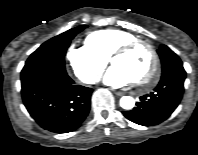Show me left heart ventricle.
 <instances>
[{"mask_svg":"<svg viewBox=\"0 0 198 155\" xmlns=\"http://www.w3.org/2000/svg\"><path fill=\"white\" fill-rule=\"evenodd\" d=\"M112 64L127 71L135 82L144 79L151 70L152 56L145 45H138L128 53L116 56Z\"/></svg>","mask_w":198,"mask_h":155,"instance_id":"1","label":"left heart ventricle"}]
</instances>
